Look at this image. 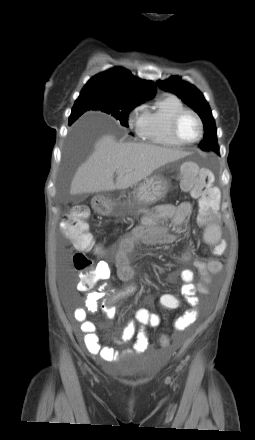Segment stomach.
I'll return each mask as SVG.
<instances>
[{
	"label": "stomach",
	"instance_id": "0dacf381",
	"mask_svg": "<svg viewBox=\"0 0 255 440\" xmlns=\"http://www.w3.org/2000/svg\"><path fill=\"white\" fill-rule=\"evenodd\" d=\"M167 182L160 175H154L141 182L133 192V200L112 201L102 197L97 209L101 213L125 216L136 213L141 206L155 203L165 197Z\"/></svg>",
	"mask_w": 255,
	"mask_h": 440
}]
</instances>
